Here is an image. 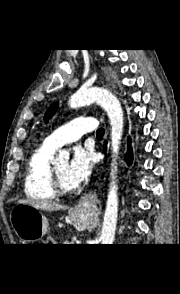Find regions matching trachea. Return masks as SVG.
Returning <instances> with one entry per match:
<instances>
[{
  "instance_id": "trachea-1",
  "label": "trachea",
  "mask_w": 180,
  "mask_h": 294,
  "mask_svg": "<svg viewBox=\"0 0 180 294\" xmlns=\"http://www.w3.org/2000/svg\"><path fill=\"white\" fill-rule=\"evenodd\" d=\"M103 135H104V129H103V128H99V129L96 131V136H97L98 138H100V137H103Z\"/></svg>"
}]
</instances>
